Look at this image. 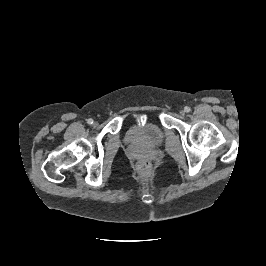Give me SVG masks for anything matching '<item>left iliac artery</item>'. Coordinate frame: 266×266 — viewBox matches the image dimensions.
Wrapping results in <instances>:
<instances>
[{
  "mask_svg": "<svg viewBox=\"0 0 266 266\" xmlns=\"http://www.w3.org/2000/svg\"><path fill=\"white\" fill-rule=\"evenodd\" d=\"M184 110H185V112H190V111H191L190 107H188V106H186V107L184 108Z\"/></svg>",
  "mask_w": 266,
  "mask_h": 266,
  "instance_id": "left-iliac-artery-1",
  "label": "left iliac artery"
}]
</instances>
